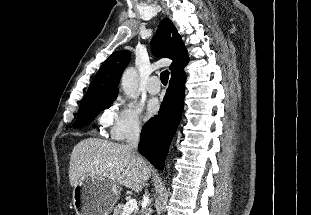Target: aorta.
<instances>
[{
	"label": "aorta",
	"instance_id": "obj_1",
	"mask_svg": "<svg viewBox=\"0 0 311 215\" xmlns=\"http://www.w3.org/2000/svg\"><path fill=\"white\" fill-rule=\"evenodd\" d=\"M121 86L125 95L131 99L138 97V74L133 67L127 68L121 78Z\"/></svg>",
	"mask_w": 311,
	"mask_h": 215
}]
</instances>
